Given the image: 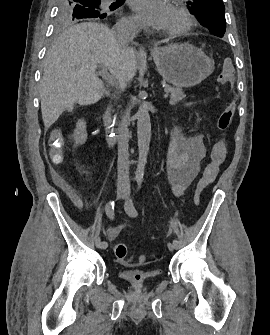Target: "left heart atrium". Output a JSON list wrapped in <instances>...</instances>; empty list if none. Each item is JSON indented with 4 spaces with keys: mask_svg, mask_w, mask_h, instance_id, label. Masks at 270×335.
Instances as JSON below:
<instances>
[{
    "mask_svg": "<svg viewBox=\"0 0 270 335\" xmlns=\"http://www.w3.org/2000/svg\"><path fill=\"white\" fill-rule=\"evenodd\" d=\"M132 6L149 35L156 36L176 29V12L167 1L134 0Z\"/></svg>",
    "mask_w": 270,
    "mask_h": 335,
    "instance_id": "39dd6f15",
    "label": "left heart atrium"
}]
</instances>
